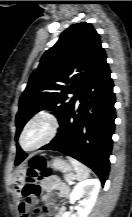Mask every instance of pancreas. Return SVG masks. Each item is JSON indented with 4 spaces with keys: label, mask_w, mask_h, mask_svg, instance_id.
Returning <instances> with one entry per match:
<instances>
[{
    "label": "pancreas",
    "mask_w": 132,
    "mask_h": 217,
    "mask_svg": "<svg viewBox=\"0 0 132 217\" xmlns=\"http://www.w3.org/2000/svg\"><path fill=\"white\" fill-rule=\"evenodd\" d=\"M64 179L66 182L72 181L74 179V175L73 174H66V175H64Z\"/></svg>",
    "instance_id": "1"
}]
</instances>
